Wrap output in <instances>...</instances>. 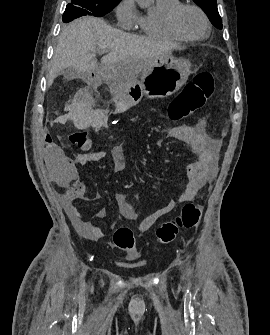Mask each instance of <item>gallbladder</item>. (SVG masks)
<instances>
[{"mask_svg":"<svg viewBox=\"0 0 270 335\" xmlns=\"http://www.w3.org/2000/svg\"><path fill=\"white\" fill-rule=\"evenodd\" d=\"M63 76H65V78H69V80H74V78H85V74H83V72H77L74 68H66L63 72Z\"/></svg>","mask_w":270,"mask_h":335,"instance_id":"obj_1","label":"gallbladder"}]
</instances>
